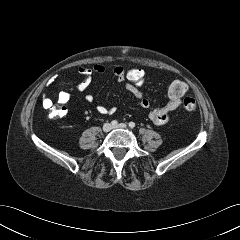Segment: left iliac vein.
Returning a JSON list of instances; mask_svg holds the SVG:
<instances>
[{
	"mask_svg": "<svg viewBox=\"0 0 240 240\" xmlns=\"http://www.w3.org/2000/svg\"><path fill=\"white\" fill-rule=\"evenodd\" d=\"M113 129H117V128H122V129H126L127 128V125L125 123H120L116 126H113L112 127Z\"/></svg>",
	"mask_w": 240,
	"mask_h": 240,
	"instance_id": "4c4485c4",
	"label": "left iliac vein"
}]
</instances>
